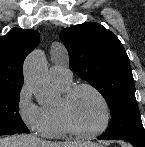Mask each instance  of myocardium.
Instances as JSON below:
<instances>
[{
    "label": "myocardium",
    "instance_id": "obj_1",
    "mask_svg": "<svg viewBox=\"0 0 145 147\" xmlns=\"http://www.w3.org/2000/svg\"><path fill=\"white\" fill-rule=\"evenodd\" d=\"M82 89H87L93 92L102 102L104 109H105V121L104 124L96 130L93 131H84L80 129L72 120L70 115V103L74 96ZM58 111L60 118L66 127V129L69 131V133L81 137V138H93L96 137L103 132H105L112 120V111L111 106L105 97V95L95 86L89 84V83H78L72 85L66 92L63 93L62 97L60 98L58 104Z\"/></svg>",
    "mask_w": 145,
    "mask_h": 147
}]
</instances>
